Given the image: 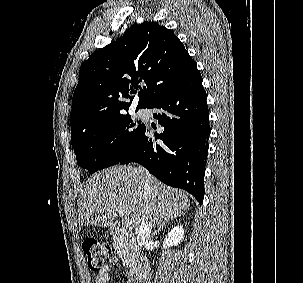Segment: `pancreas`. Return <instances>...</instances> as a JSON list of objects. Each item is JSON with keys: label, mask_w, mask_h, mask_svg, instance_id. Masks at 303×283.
<instances>
[{"label": "pancreas", "mask_w": 303, "mask_h": 283, "mask_svg": "<svg viewBox=\"0 0 303 283\" xmlns=\"http://www.w3.org/2000/svg\"><path fill=\"white\" fill-rule=\"evenodd\" d=\"M114 247L125 265L134 266L137 245L131 239L122 237L114 242Z\"/></svg>", "instance_id": "1"}]
</instances>
